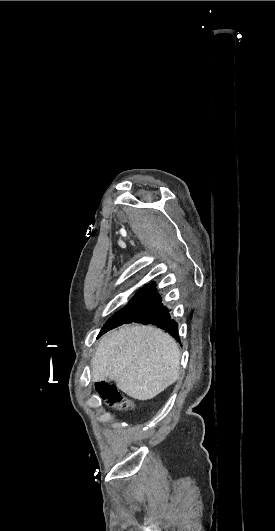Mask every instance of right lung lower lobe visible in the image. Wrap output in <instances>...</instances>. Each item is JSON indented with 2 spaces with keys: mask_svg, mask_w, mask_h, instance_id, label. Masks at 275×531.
<instances>
[{
  "mask_svg": "<svg viewBox=\"0 0 275 531\" xmlns=\"http://www.w3.org/2000/svg\"><path fill=\"white\" fill-rule=\"evenodd\" d=\"M128 322L155 324L178 339V324L163 306L153 282L140 288L128 304L106 322L100 335Z\"/></svg>",
  "mask_w": 275,
  "mask_h": 531,
  "instance_id": "1",
  "label": "right lung lower lobe"
}]
</instances>
